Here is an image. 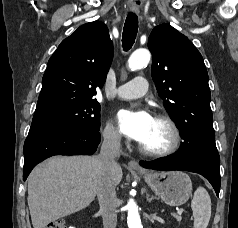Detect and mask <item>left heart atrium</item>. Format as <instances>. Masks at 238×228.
Returning a JSON list of instances; mask_svg holds the SVG:
<instances>
[{"label": "left heart atrium", "mask_w": 238, "mask_h": 228, "mask_svg": "<svg viewBox=\"0 0 238 228\" xmlns=\"http://www.w3.org/2000/svg\"><path fill=\"white\" fill-rule=\"evenodd\" d=\"M117 118L122 133L139 143L148 135L154 120L145 110H121Z\"/></svg>", "instance_id": "obj_1"}]
</instances>
